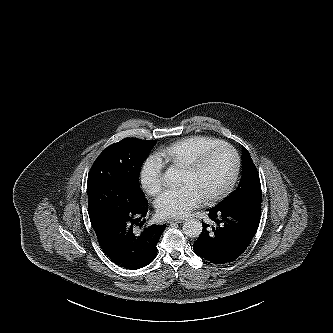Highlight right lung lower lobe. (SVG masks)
I'll return each mask as SVG.
<instances>
[{
    "label": "right lung lower lobe",
    "instance_id": "98d812e1",
    "mask_svg": "<svg viewBox=\"0 0 333 333\" xmlns=\"http://www.w3.org/2000/svg\"><path fill=\"white\" fill-rule=\"evenodd\" d=\"M143 206L125 218L107 217L91 223L98 242L111 261L126 269H139L150 264L157 255L156 245L166 225H151L140 234L134 227L147 214Z\"/></svg>",
    "mask_w": 333,
    "mask_h": 333
}]
</instances>
